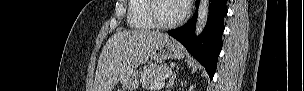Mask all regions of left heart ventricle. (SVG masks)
Here are the masks:
<instances>
[{
    "label": "left heart ventricle",
    "instance_id": "b2bd125f",
    "mask_svg": "<svg viewBox=\"0 0 304 91\" xmlns=\"http://www.w3.org/2000/svg\"><path fill=\"white\" fill-rule=\"evenodd\" d=\"M183 10V4L178 0H163L157 3V16L165 22L179 18Z\"/></svg>",
    "mask_w": 304,
    "mask_h": 91
}]
</instances>
